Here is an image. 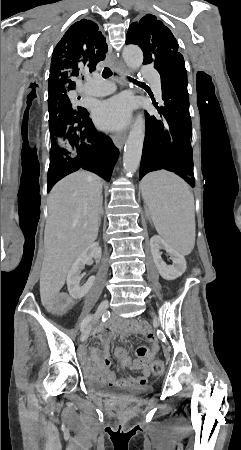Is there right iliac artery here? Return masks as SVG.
Returning a JSON list of instances; mask_svg holds the SVG:
<instances>
[{
	"mask_svg": "<svg viewBox=\"0 0 241 450\" xmlns=\"http://www.w3.org/2000/svg\"><path fill=\"white\" fill-rule=\"evenodd\" d=\"M92 315L86 317L83 322L81 323V331L88 325V323L91 321Z\"/></svg>",
	"mask_w": 241,
	"mask_h": 450,
	"instance_id": "obj_1",
	"label": "right iliac artery"
}]
</instances>
